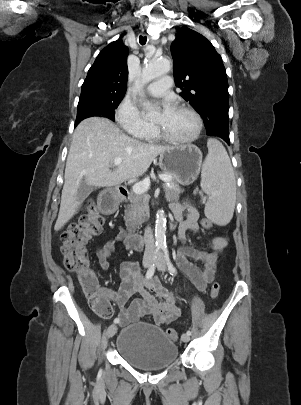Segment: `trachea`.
<instances>
[{"label":"trachea","mask_w":301,"mask_h":405,"mask_svg":"<svg viewBox=\"0 0 301 405\" xmlns=\"http://www.w3.org/2000/svg\"><path fill=\"white\" fill-rule=\"evenodd\" d=\"M146 41H147V37L140 35V37H139V43H140L141 45H144V44L146 43Z\"/></svg>","instance_id":"1"}]
</instances>
